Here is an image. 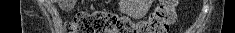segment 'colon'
<instances>
[{
  "label": "colon",
  "instance_id": "obj_1",
  "mask_svg": "<svg viewBox=\"0 0 235 33\" xmlns=\"http://www.w3.org/2000/svg\"><path fill=\"white\" fill-rule=\"evenodd\" d=\"M178 0H163L147 20L137 23L126 16L96 10L80 12L66 23L69 33H167L176 20Z\"/></svg>",
  "mask_w": 235,
  "mask_h": 33
}]
</instances>
